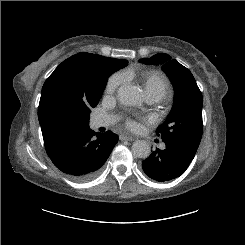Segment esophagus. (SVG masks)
Masks as SVG:
<instances>
[{
	"label": "esophagus",
	"instance_id": "1",
	"mask_svg": "<svg viewBox=\"0 0 245 245\" xmlns=\"http://www.w3.org/2000/svg\"><path fill=\"white\" fill-rule=\"evenodd\" d=\"M119 139L121 141H133L134 140V138L132 136H127V135H120Z\"/></svg>",
	"mask_w": 245,
	"mask_h": 245
}]
</instances>
